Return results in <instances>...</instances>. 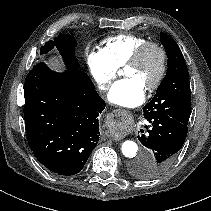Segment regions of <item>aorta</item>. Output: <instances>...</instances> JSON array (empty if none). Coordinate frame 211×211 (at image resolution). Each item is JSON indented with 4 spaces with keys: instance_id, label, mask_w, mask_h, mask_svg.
Returning a JSON list of instances; mask_svg holds the SVG:
<instances>
[{
    "instance_id": "762f6f07",
    "label": "aorta",
    "mask_w": 211,
    "mask_h": 211,
    "mask_svg": "<svg viewBox=\"0 0 211 211\" xmlns=\"http://www.w3.org/2000/svg\"><path fill=\"white\" fill-rule=\"evenodd\" d=\"M122 153L127 158H134L138 152V146L134 141L127 140L121 146Z\"/></svg>"
}]
</instances>
